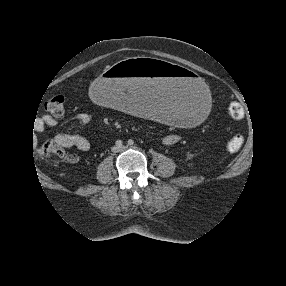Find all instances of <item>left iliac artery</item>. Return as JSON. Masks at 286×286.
Instances as JSON below:
<instances>
[{
    "label": "left iliac artery",
    "mask_w": 286,
    "mask_h": 286,
    "mask_svg": "<svg viewBox=\"0 0 286 286\" xmlns=\"http://www.w3.org/2000/svg\"><path fill=\"white\" fill-rule=\"evenodd\" d=\"M133 144H134V141H133V140H131V139H130V140H128V145H130V146H131V145H133Z\"/></svg>",
    "instance_id": "left-iliac-artery-1"
}]
</instances>
